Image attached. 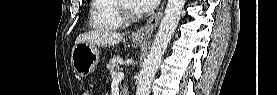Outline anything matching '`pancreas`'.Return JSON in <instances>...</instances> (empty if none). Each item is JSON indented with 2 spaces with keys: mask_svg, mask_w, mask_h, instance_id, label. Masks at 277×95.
I'll use <instances>...</instances> for the list:
<instances>
[{
  "mask_svg": "<svg viewBox=\"0 0 277 95\" xmlns=\"http://www.w3.org/2000/svg\"><path fill=\"white\" fill-rule=\"evenodd\" d=\"M117 68H119V57L113 56L109 62L107 63V69L109 71V74L112 76L113 73L116 72ZM127 92L126 86L122 90V94H125Z\"/></svg>",
  "mask_w": 277,
  "mask_h": 95,
  "instance_id": "cf45deb5",
  "label": "pancreas"
}]
</instances>
